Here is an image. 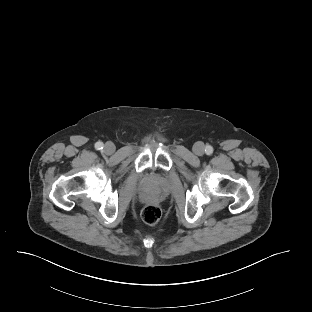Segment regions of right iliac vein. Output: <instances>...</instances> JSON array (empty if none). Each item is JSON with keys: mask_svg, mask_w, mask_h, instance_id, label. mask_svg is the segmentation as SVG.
<instances>
[{"mask_svg": "<svg viewBox=\"0 0 312 312\" xmlns=\"http://www.w3.org/2000/svg\"><path fill=\"white\" fill-rule=\"evenodd\" d=\"M104 152L106 153V154H112V153H114V151H115V146H114V144L112 143V142H107L105 145H104Z\"/></svg>", "mask_w": 312, "mask_h": 312, "instance_id": "63e3f726", "label": "right iliac vein"}]
</instances>
